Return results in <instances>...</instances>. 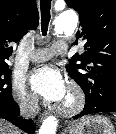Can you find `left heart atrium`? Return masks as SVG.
Here are the masks:
<instances>
[{
  "instance_id": "1",
  "label": "left heart atrium",
  "mask_w": 116,
  "mask_h": 134,
  "mask_svg": "<svg viewBox=\"0 0 116 134\" xmlns=\"http://www.w3.org/2000/svg\"><path fill=\"white\" fill-rule=\"evenodd\" d=\"M32 92L50 102H62L66 96V86L60 72L51 65L33 70L29 76Z\"/></svg>"
}]
</instances>
